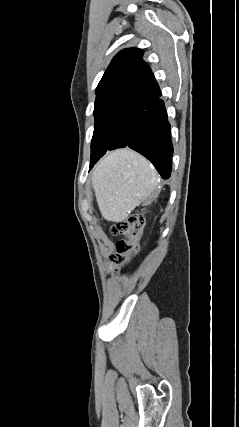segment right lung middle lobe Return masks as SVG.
Masks as SVG:
<instances>
[{
	"label": "right lung middle lobe",
	"mask_w": 239,
	"mask_h": 427,
	"mask_svg": "<svg viewBox=\"0 0 239 427\" xmlns=\"http://www.w3.org/2000/svg\"><path fill=\"white\" fill-rule=\"evenodd\" d=\"M147 106L146 99L136 97L95 102L90 168L107 150H114L126 144L136 119Z\"/></svg>",
	"instance_id": "dd1d6c3e"
}]
</instances>
